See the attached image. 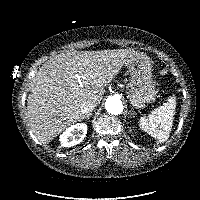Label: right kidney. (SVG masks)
Instances as JSON below:
<instances>
[{"label": "right kidney", "mask_w": 200, "mask_h": 200, "mask_svg": "<svg viewBox=\"0 0 200 200\" xmlns=\"http://www.w3.org/2000/svg\"><path fill=\"white\" fill-rule=\"evenodd\" d=\"M87 133V125L84 123H77L71 125L60 135V144L62 147H73L83 141Z\"/></svg>", "instance_id": "obj_1"}]
</instances>
